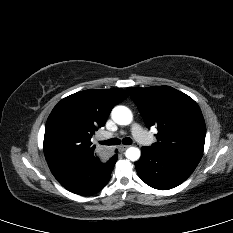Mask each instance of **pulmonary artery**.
<instances>
[{"instance_id":"e3ab8cb5","label":"pulmonary artery","mask_w":233,"mask_h":233,"mask_svg":"<svg viewBox=\"0 0 233 233\" xmlns=\"http://www.w3.org/2000/svg\"><path fill=\"white\" fill-rule=\"evenodd\" d=\"M132 134L133 136L141 143H148L149 142V138L147 136V134L143 131V129L138 125V124H133L132 128ZM113 137L112 133L109 132H105L102 135V138H111Z\"/></svg>"}]
</instances>
